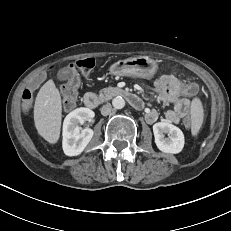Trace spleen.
<instances>
[{
  "label": "spleen",
  "mask_w": 231,
  "mask_h": 231,
  "mask_svg": "<svg viewBox=\"0 0 231 231\" xmlns=\"http://www.w3.org/2000/svg\"><path fill=\"white\" fill-rule=\"evenodd\" d=\"M192 126L191 131L193 135L199 132L204 118L203 107L199 99H194L191 105Z\"/></svg>",
  "instance_id": "spleen-1"
}]
</instances>
